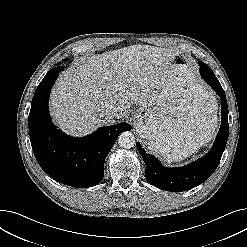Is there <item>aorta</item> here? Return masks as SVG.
Segmentation results:
<instances>
[{
	"mask_svg": "<svg viewBox=\"0 0 247 247\" xmlns=\"http://www.w3.org/2000/svg\"><path fill=\"white\" fill-rule=\"evenodd\" d=\"M135 142L134 134L129 131L122 132L118 137V144L123 148H131Z\"/></svg>",
	"mask_w": 247,
	"mask_h": 247,
	"instance_id": "obj_1",
	"label": "aorta"
}]
</instances>
